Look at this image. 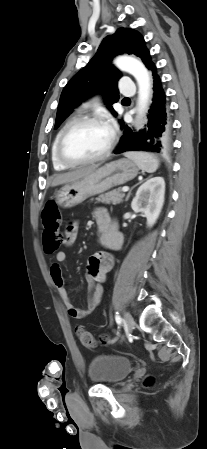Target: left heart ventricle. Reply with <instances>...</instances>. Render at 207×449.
<instances>
[{
	"instance_id": "b2bd125f",
	"label": "left heart ventricle",
	"mask_w": 207,
	"mask_h": 449,
	"mask_svg": "<svg viewBox=\"0 0 207 449\" xmlns=\"http://www.w3.org/2000/svg\"><path fill=\"white\" fill-rule=\"evenodd\" d=\"M110 129L101 124H83L72 129L64 144V154L73 160L89 159L101 154L109 144Z\"/></svg>"
}]
</instances>
